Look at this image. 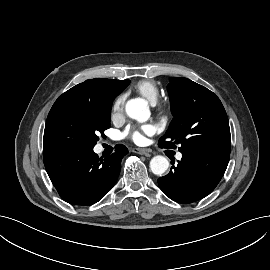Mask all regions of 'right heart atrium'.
Segmentation results:
<instances>
[{"mask_svg":"<svg viewBox=\"0 0 270 270\" xmlns=\"http://www.w3.org/2000/svg\"><path fill=\"white\" fill-rule=\"evenodd\" d=\"M125 100V94H120L113 101L111 106V118L113 120H118L123 116Z\"/></svg>","mask_w":270,"mask_h":270,"instance_id":"obj_1","label":"right heart atrium"}]
</instances>
